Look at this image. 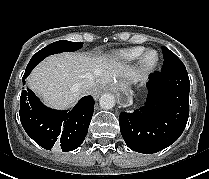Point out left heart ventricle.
<instances>
[{"instance_id": "1", "label": "left heart ventricle", "mask_w": 209, "mask_h": 179, "mask_svg": "<svg viewBox=\"0 0 209 179\" xmlns=\"http://www.w3.org/2000/svg\"><path fill=\"white\" fill-rule=\"evenodd\" d=\"M154 58H155V55H154V54H150L149 57H148V59H149L150 61H152Z\"/></svg>"}]
</instances>
